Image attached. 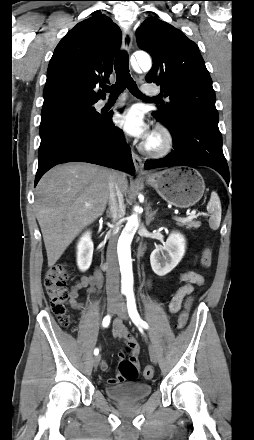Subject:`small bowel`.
Wrapping results in <instances>:
<instances>
[{"mask_svg":"<svg viewBox=\"0 0 254 440\" xmlns=\"http://www.w3.org/2000/svg\"><path fill=\"white\" fill-rule=\"evenodd\" d=\"M180 280L184 282V285H182L171 298L169 309L172 313H177L181 308L184 297L192 293L196 285H202L204 282V278L202 277V275L194 271L183 273L180 276ZM101 283V278L97 271L77 280L73 284L70 291L71 306L76 310H82L84 308V305L78 301L79 290L82 288H88L89 292L94 293L100 289ZM112 333L113 336L120 340L124 346L123 351L119 353L120 358H123L124 355L127 354L129 359L138 364L140 354L139 343L135 339V337L129 332V330L124 326L121 320L116 319L113 322ZM101 368L102 370H107L108 364L103 361L101 364ZM123 381L124 380L120 373L108 380L110 385H116Z\"/></svg>","mask_w":254,"mask_h":440,"instance_id":"small-bowel-1","label":"small bowel"}]
</instances>
